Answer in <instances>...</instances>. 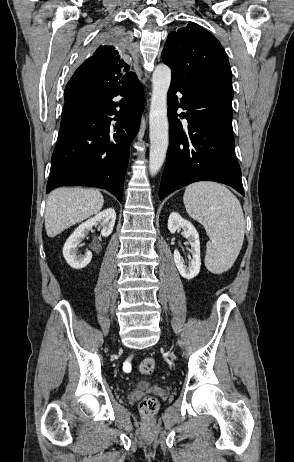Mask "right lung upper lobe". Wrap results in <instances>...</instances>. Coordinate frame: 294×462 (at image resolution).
Instances as JSON below:
<instances>
[{"instance_id":"cb5924a9","label":"right lung upper lobe","mask_w":294,"mask_h":462,"mask_svg":"<svg viewBox=\"0 0 294 462\" xmlns=\"http://www.w3.org/2000/svg\"><path fill=\"white\" fill-rule=\"evenodd\" d=\"M129 66L121 59L116 47L99 46L91 57L86 59L67 83L64 97L76 93L95 95L126 86L136 75L128 72Z\"/></svg>"}]
</instances>
